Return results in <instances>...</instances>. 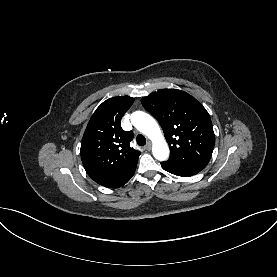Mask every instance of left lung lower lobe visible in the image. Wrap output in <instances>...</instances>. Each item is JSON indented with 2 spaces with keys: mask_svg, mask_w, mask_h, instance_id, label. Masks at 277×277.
Segmentation results:
<instances>
[{
  "mask_svg": "<svg viewBox=\"0 0 277 277\" xmlns=\"http://www.w3.org/2000/svg\"><path fill=\"white\" fill-rule=\"evenodd\" d=\"M161 166L164 170L182 177H190L199 173L205 168V165L194 163H170L162 162Z\"/></svg>",
  "mask_w": 277,
  "mask_h": 277,
  "instance_id": "left-lung-lower-lobe-1",
  "label": "left lung lower lobe"
}]
</instances>
